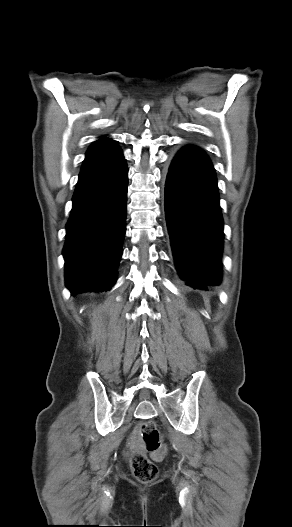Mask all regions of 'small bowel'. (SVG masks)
Wrapping results in <instances>:
<instances>
[{
    "label": "small bowel",
    "instance_id": "c3829d8e",
    "mask_svg": "<svg viewBox=\"0 0 292 527\" xmlns=\"http://www.w3.org/2000/svg\"><path fill=\"white\" fill-rule=\"evenodd\" d=\"M128 449L130 452H144L145 450V447L144 445L140 442V439H139V430H136L133 435L131 436L130 438V441H129V445H128ZM166 453V447L165 446H161L159 447L156 451H152V454L154 455L153 457V462L155 464H160L162 462V456L165 455Z\"/></svg>",
    "mask_w": 292,
    "mask_h": 527
}]
</instances>
